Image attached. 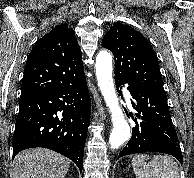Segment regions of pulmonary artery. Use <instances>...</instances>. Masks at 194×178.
Segmentation results:
<instances>
[{"instance_id":"pulmonary-artery-1","label":"pulmonary artery","mask_w":194,"mask_h":178,"mask_svg":"<svg viewBox=\"0 0 194 178\" xmlns=\"http://www.w3.org/2000/svg\"><path fill=\"white\" fill-rule=\"evenodd\" d=\"M124 94H125L127 99H130V93L127 89L124 90Z\"/></svg>"}]
</instances>
